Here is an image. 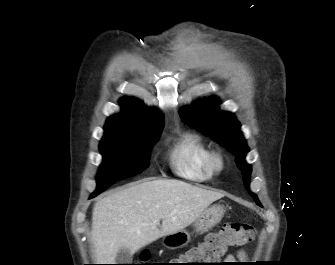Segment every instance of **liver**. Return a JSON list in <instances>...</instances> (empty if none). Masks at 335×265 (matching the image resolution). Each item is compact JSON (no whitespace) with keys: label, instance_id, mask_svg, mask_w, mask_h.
<instances>
[{"label":"liver","instance_id":"liver-1","mask_svg":"<svg viewBox=\"0 0 335 265\" xmlns=\"http://www.w3.org/2000/svg\"><path fill=\"white\" fill-rule=\"evenodd\" d=\"M223 196L174 179L144 180L109 194L95 203L92 212L96 261L114 264L111 262H116L121 248L133 254L165 235L183 230Z\"/></svg>","mask_w":335,"mask_h":265}]
</instances>
